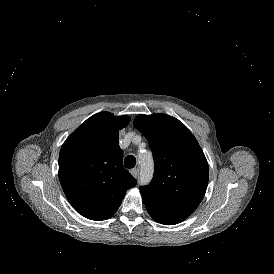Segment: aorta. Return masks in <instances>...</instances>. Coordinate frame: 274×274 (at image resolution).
Instances as JSON below:
<instances>
[{
	"mask_svg": "<svg viewBox=\"0 0 274 274\" xmlns=\"http://www.w3.org/2000/svg\"><path fill=\"white\" fill-rule=\"evenodd\" d=\"M140 163V183L148 184L153 176V159L152 154H139Z\"/></svg>",
	"mask_w": 274,
	"mask_h": 274,
	"instance_id": "obj_1",
	"label": "aorta"
}]
</instances>
